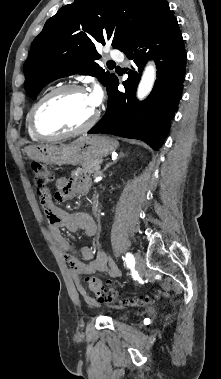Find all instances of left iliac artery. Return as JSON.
<instances>
[{
	"mask_svg": "<svg viewBox=\"0 0 221 379\" xmlns=\"http://www.w3.org/2000/svg\"><path fill=\"white\" fill-rule=\"evenodd\" d=\"M125 262L127 267H133L135 265V258L131 253H126Z\"/></svg>",
	"mask_w": 221,
	"mask_h": 379,
	"instance_id": "1",
	"label": "left iliac artery"
}]
</instances>
